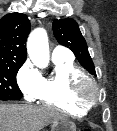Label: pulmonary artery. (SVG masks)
<instances>
[{
	"label": "pulmonary artery",
	"instance_id": "obj_1",
	"mask_svg": "<svg viewBox=\"0 0 117 131\" xmlns=\"http://www.w3.org/2000/svg\"><path fill=\"white\" fill-rule=\"evenodd\" d=\"M72 58V53L61 46H56L52 51V59Z\"/></svg>",
	"mask_w": 117,
	"mask_h": 131
}]
</instances>
